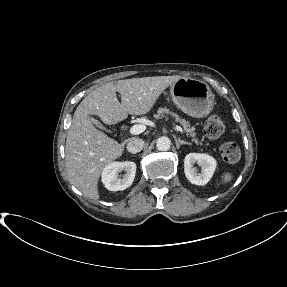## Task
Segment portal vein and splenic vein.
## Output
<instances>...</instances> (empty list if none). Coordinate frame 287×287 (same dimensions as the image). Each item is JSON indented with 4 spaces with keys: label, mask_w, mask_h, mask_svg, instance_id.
I'll list each match as a JSON object with an SVG mask.
<instances>
[{
    "label": "portal vein and splenic vein",
    "mask_w": 287,
    "mask_h": 287,
    "mask_svg": "<svg viewBox=\"0 0 287 287\" xmlns=\"http://www.w3.org/2000/svg\"><path fill=\"white\" fill-rule=\"evenodd\" d=\"M146 129V126L143 125V124H136V125H133L129 132L133 135H138V134H141L142 132H144ZM175 129L181 133H183V129L178 126V125H175Z\"/></svg>",
    "instance_id": "18ae733b"
}]
</instances>
